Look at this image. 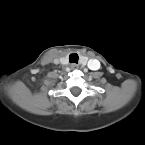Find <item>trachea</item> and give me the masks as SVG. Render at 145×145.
<instances>
[{
    "instance_id": "1",
    "label": "trachea",
    "mask_w": 145,
    "mask_h": 145,
    "mask_svg": "<svg viewBox=\"0 0 145 145\" xmlns=\"http://www.w3.org/2000/svg\"><path fill=\"white\" fill-rule=\"evenodd\" d=\"M70 63H78V54L73 53L69 56Z\"/></svg>"
}]
</instances>
